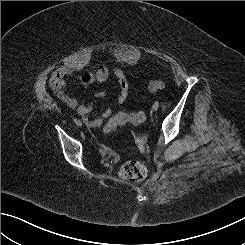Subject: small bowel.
Returning a JSON list of instances; mask_svg holds the SVG:
<instances>
[{
    "mask_svg": "<svg viewBox=\"0 0 245 245\" xmlns=\"http://www.w3.org/2000/svg\"><path fill=\"white\" fill-rule=\"evenodd\" d=\"M77 70L78 68L75 66H62L57 68L50 77V87L59 100L64 102L81 116L86 126L89 128L100 127L104 124L105 120L112 116L114 108L109 107L105 109L99 117H91L90 114L93 109L92 102L81 103L75 96L70 95L65 91L67 77L74 74ZM110 77L115 78L118 82L119 91L116 103L121 105L126 101L129 93L128 81L122 69H109L108 67L101 65L93 72L80 74L78 76V81L83 85H88L96 82H105ZM95 96L97 98H105L107 93L105 91H99Z\"/></svg>",
    "mask_w": 245,
    "mask_h": 245,
    "instance_id": "1",
    "label": "small bowel"
}]
</instances>
